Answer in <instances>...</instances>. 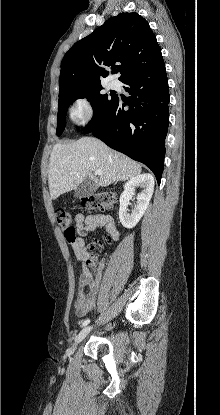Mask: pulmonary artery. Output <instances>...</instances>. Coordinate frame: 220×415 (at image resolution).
I'll return each mask as SVG.
<instances>
[{"instance_id": "pulmonary-artery-1", "label": "pulmonary artery", "mask_w": 220, "mask_h": 415, "mask_svg": "<svg viewBox=\"0 0 220 415\" xmlns=\"http://www.w3.org/2000/svg\"><path fill=\"white\" fill-rule=\"evenodd\" d=\"M110 87L111 88H117L118 87V83L116 81H111L110 82Z\"/></svg>"}]
</instances>
